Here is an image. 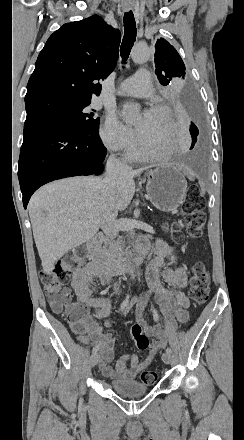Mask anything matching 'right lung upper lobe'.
Instances as JSON below:
<instances>
[{
    "label": "right lung upper lobe",
    "mask_w": 244,
    "mask_h": 440,
    "mask_svg": "<svg viewBox=\"0 0 244 440\" xmlns=\"http://www.w3.org/2000/svg\"><path fill=\"white\" fill-rule=\"evenodd\" d=\"M120 31L98 15L64 24L47 40L27 84L25 99L59 94L91 98L113 70L119 55Z\"/></svg>",
    "instance_id": "right-lung-upper-lobe-1"
}]
</instances>
